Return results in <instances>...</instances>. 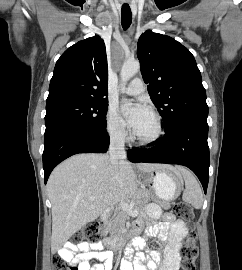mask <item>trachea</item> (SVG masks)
Listing matches in <instances>:
<instances>
[{
  "instance_id": "trachea-1",
  "label": "trachea",
  "mask_w": 242,
  "mask_h": 270,
  "mask_svg": "<svg viewBox=\"0 0 242 270\" xmlns=\"http://www.w3.org/2000/svg\"><path fill=\"white\" fill-rule=\"evenodd\" d=\"M132 22V13L128 5H123L121 9V24L124 30L128 29Z\"/></svg>"
}]
</instances>
